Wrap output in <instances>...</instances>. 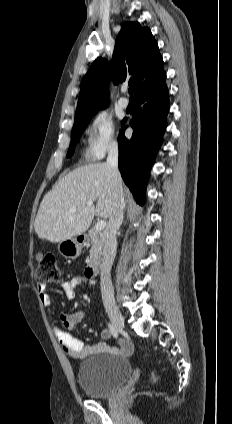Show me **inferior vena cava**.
Segmentation results:
<instances>
[{
	"label": "inferior vena cava",
	"mask_w": 232,
	"mask_h": 424,
	"mask_svg": "<svg viewBox=\"0 0 232 424\" xmlns=\"http://www.w3.org/2000/svg\"><path fill=\"white\" fill-rule=\"evenodd\" d=\"M111 173L114 185V208L109 218L107 226L103 232L102 244V263H101V295L105 304L114 303V288L111 281V268L116 255V233L123 222V209L125 201L122 193V179L118 169V144L112 142L108 149V157L106 162Z\"/></svg>",
	"instance_id": "obj_1"
}]
</instances>
